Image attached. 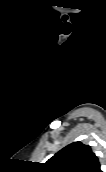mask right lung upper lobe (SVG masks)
<instances>
[{
  "label": "right lung upper lobe",
  "instance_id": "cb5924a9",
  "mask_svg": "<svg viewBox=\"0 0 106 172\" xmlns=\"http://www.w3.org/2000/svg\"><path fill=\"white\" fill-rule=\"evenodd\" d=\"M48 172H102L91 147L74 142L64 147L45 163Z\"/></svg>",
  "mask_w": 106,
  "mask_h": 172
}]
</instances>
